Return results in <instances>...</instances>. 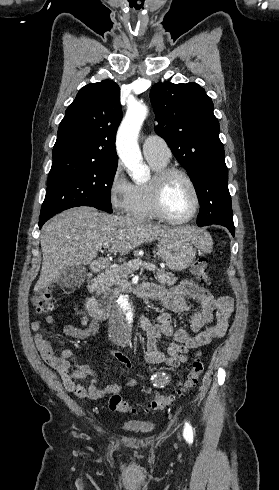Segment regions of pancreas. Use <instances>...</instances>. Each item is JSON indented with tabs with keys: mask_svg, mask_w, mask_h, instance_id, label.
<instances>
[{
	"mask_svg": "<svg viewBox=\"0 0 279 490\" xmlns=\"http://www.w3.org/2000/svg\"><path fill=\"white\" fill-rule=\"evenodd\" d=\"M136 268L133 266H129V262H124V264H120L117 268H109L106 270L104 276H100L95 280L94 284H96V292L97 294H108L111 290V286L114 284H123L124 280L128 278L129 274H133ZM174 274H170V272H164V270H160L155 274V280H158L159 284L165 286H172L175 284L176 280L173 278Z\"/></svg>",
	"mask_w": 279,
	"mask_h": 490,
	"instance_id": "pancreas-1",
	"label": "pancreas"
}]
</instances>
